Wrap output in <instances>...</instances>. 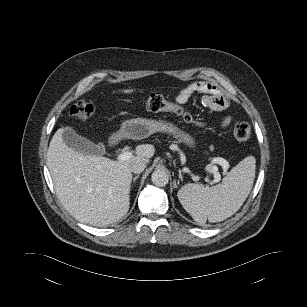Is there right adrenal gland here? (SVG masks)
Instances as JSON below:
<instances>
[{"mask_svg":"<svg viewBox=\"0 0 307 307\" xmlns=\"http://www.w3.org/2000/svg\"><path fill=\"white\" fill-rule=\"evenodd\" d=\"M138 177H139V175L135 176V177L133 178V182H135L136 179H137Z\"/></svg>","mask_w":307,"mask_h":307,"instance_id":"1","label":"right adrenal gland"}]
</instances>
